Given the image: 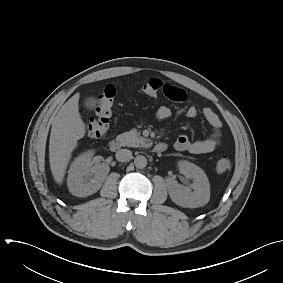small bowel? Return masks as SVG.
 Returning a JSON list of instances; mask_svg holds the SVG:
<instances>
[{
  "label": "small bowel",
  "instance_id": "small-bowel-1",
  "mask_svg": "<svg viewBox=\"0 0 283 283\" xmlns=\"http://www.w3.org/2000/svg\"><path fill=\"white\" fill-rule=\"evenodd\" d=\"M162 92L172 101L181 102L186 99L185 90L173 84H163ZM171 114L170 108L161 106L157 110L156 116L159 120L163 121L170 118ZM185 115L189 118H197L199 116V110L194 106L188 107ZM202 115L210 126L209 136L203 140L192 141L186 135H180L174 143V148L177 151L200 155L214 151L221 144L222 123L219 117L210 108H204Z\"/></svg>",
  "mask_w": 283,
  "mask_h": 283
}]
</instances>
